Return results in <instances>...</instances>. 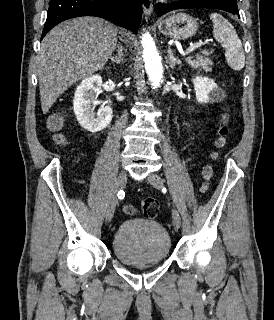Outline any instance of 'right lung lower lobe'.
<instances>
[{
  "label": "right lung lower lobe",
  "instance_id": "obj_1",
  "mask_svg": "<svg viewBox=\"0 0 274 320\" xmlns=\"http://www.w3.org/2000/svg\"><path fill=\"white\" fill-rule=\"evenodd\" d=\"M141 0H50L41 39L57 24L79 16H97L137 33Z\"/></svg>",
  "mask_w": 274,
  "mask_h": 320
}]
</instances>
